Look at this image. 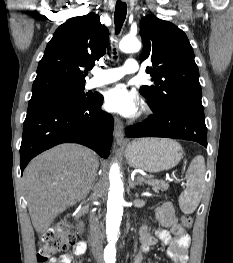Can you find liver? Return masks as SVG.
<instances>
[{
  "instance_id": "liver-1",
  "label": "liver",
  "mask_w": 233,
  "mask_h": 263,
  "mask_svg": "<svg viewBox=\"0 0 233 263\" xmlns=\"http://www.w3.org/2000/svg\"><path fill=\"white\" fill-rule=\"evenodd\" d=\"M99 167L97 154L78 144H61L34 158L23 174L32 224L43 234L54 219L88 195Z\"/></svg>"
}]
</instances>
